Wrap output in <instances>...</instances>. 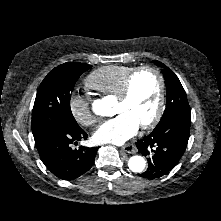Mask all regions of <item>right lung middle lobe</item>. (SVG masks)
Listing matches in <instances>:
<instances>
[{"mask_svg":"<svg viewBox=\"0 0 221 221\" xmlns=\"http://www.w3.org/2000/svg\"><path fill=\"white\" fill-rule=\"evenodd\" d=\"M92 66L67 62L55 67L37 91L32 112V132L51 126L78 127L70 109L71 92L82 73Z\"/></svg>","mask_w":221,"mask_h":221,"instance_id":"dd1d6c3e","label":"right lung middle lobe"}]
</instances>
